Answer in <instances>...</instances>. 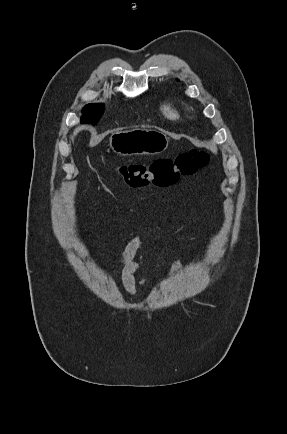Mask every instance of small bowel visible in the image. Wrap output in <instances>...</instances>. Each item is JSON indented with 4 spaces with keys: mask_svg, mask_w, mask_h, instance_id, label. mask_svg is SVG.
<instances>
[{
    "mask_svg": "<svg viewBox=\"0 0 287 434\" xmlns=\"http://www.w3.org/2000/svg\"><path fill=\"white\" fill-rule=\"evenodd\" d=\"M153 244V241L144 235H134L130 240L122 255L118 259V263L122 266V285L125 292L129 295H135L137 292V284L143 286L146 283L144 278H138L143 272L145 264V254L140 258L139 262L132 260L137 251L145 253L147 248ZM182 266V261L176 259L172 264L169 274L174 273Z\"/></svg>",
    "mask_w": 287,
    "mask_h": 434,
    "instance_id": "small-bowel-1",
    "label": "small bowel"
}]
</instances>
